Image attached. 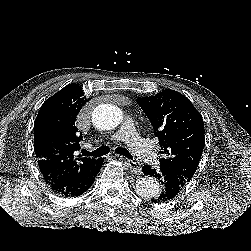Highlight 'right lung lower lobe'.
<instances>
[{
  "mask_svg": "<svg viewBox=\"0 0 251 251\" xmlns=\"http://www.w3.org/2000/svg\"><path fill=\"white\" fill-rule=\"evenodd\" d=\"M103 164V159H99V162L94 166V168L88 170L87 172L46 182L56 194L65 197L79 196L91 187Z\"/></svg>",
  "mask_w": 251,
  "mask_h": 251,
  "instance_id": "obj_1",
  "label": "right lung lower lobe"
}]
</instances>
